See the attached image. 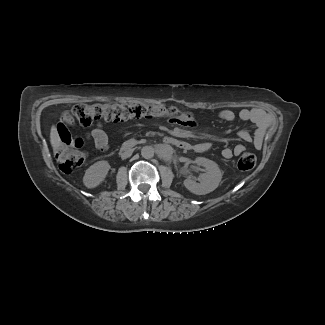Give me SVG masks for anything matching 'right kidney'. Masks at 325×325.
<instances>
[{
	"label": "right kidney",
	"mask_w": 325,
	"mask_h": 325,
	"mask_svg": "<svg viewBox=\"0 0 325 325\" xmlns=\"http://www.w3.org/2000/svg\"><path fill=\"white\" fill-rule=\"evenodd\" d=\"M110 165L107 161H98L91 165L85 172L83 183L87 188L97 187L106 177Z\"/></svg>",
	"instance_id": "1"
}]
</instances>
